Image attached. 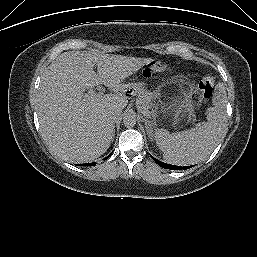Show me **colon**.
Returning a JSON list of instances; mask_svg holds the SVG:
<instances>
[{
    "instance_id": "1",
    "label": "colon",
    "mask_w": 257,
    "mask_h": 257,
    "mask_svg": "<svg viewBox=\"0 0 257 257\" xmlns=\"http://www.w3.org/2000/svg\"><path fill=\"white\" fill-rule=\"evenodd\" d=\"M168 71H169V68L165 64L158 61H153L148 63L143 68L142 75L148 78L155 74L166 73ZM215 84H216V79L213 75H206L201 79L199 83V88L203 98L210 99L212 97Z\"/></svg>"
}]
</instances>
